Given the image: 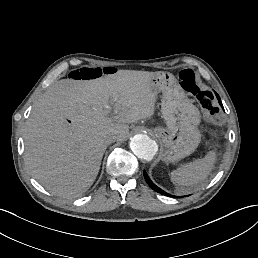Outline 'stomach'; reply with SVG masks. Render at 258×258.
<instances>
[{
  "label": "stomach",
  "instance_id": "stomach-1",
  "mask_svg": "<svg viewBox=\"0 0 258 258\" xmlns=\"http://www.w3.org/2000/svg\"><path fill=\"white\" fill-rule=\"evenodd\" d=\"M150 86L162 93L161 113L166 127L154 128L161 145L160 157L166 163H175L192 154L201 141L200 112L173 74L160 72L152 77Z\"/></svg>",
  "mask_w": 258,
  "mask_h": 258
}]
</instances>
